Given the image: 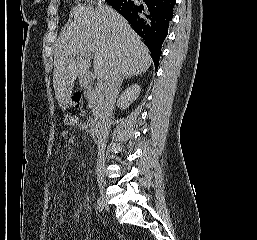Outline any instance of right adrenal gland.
<instances>
[{"label": "right adrenal gland", "instance_id": "right-adrenal-gland-1", "mask_svg": "<svg viewBox=\"0 0 257 240\" xmlns=\"http://www.w3.org/2000/svg\"><path fill=\"white\" fill-rule=\"evenodd\" d=\"M132 76H129V77H123L122 80H121V83H120V86H119V92L121 91V86L123 84V81L126 80V79H131ZM118 92V94H119Z\"/></svg>", "mask_w": 257, "mask_h": 240}]
</instances>
